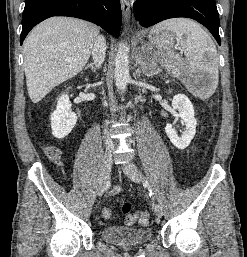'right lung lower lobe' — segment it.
<instances>
[{
    "label": "right lung lower lobe",
    "mask_w": 247,
    "mask_h": 257,
    "mask_svg": "<svg viewBox=\"0 0 247 257\" xmlns=\"http://www.w3.org/2000/svg\"><path fill=\"white\" fill-rule=\"evenodd\" d=\"M52 16H70L93 22L114 37L121 28L119 0H25L20 44L29 31Z\"/></svg>",
    "instance_id": "1"
}]
</instances>
